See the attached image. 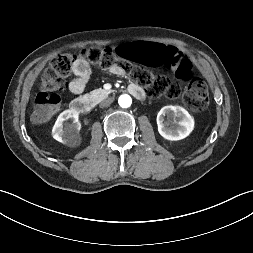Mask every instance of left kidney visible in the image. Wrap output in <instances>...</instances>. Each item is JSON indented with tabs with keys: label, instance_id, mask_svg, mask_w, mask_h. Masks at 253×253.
Masks as SVG:
<instances>
[{
	"label": "left kidney",
	"instance_id": "obj_1",
	"mask_svg": "<svg viewBox=\"0 0 253 253\" xmlns=\"http://www.w3.org/2000/svg\"><path fill=\"white\" fill-rule=\"evenodd\" d=\"M157 125L158 132L163 138L178 141L186 138L193 131L194 119L183 107L169 105L159 111Z\"/></svg>",
	"mask_w": 253,
	"mask_h": 253
}]
</instances>
